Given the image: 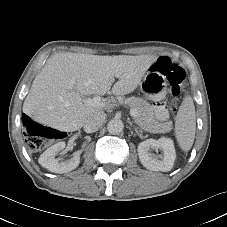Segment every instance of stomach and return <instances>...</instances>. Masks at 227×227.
Masks as SVG:
<instances>
[{"label":"stomach","instance_id":"1","mask_svg":"<svg viewBox=\"0 0 227 227\" xmlns=\"http://www.w3.org/2000/svg\"><path fill=\"white\" fill-rule=\"evenodd\" d=\"M141 92L152 101H161L167 94L165 77L157 71L149 70L140 83Z\"/></svg>","mask_w":227,"mask_h":227}]
</instances>
